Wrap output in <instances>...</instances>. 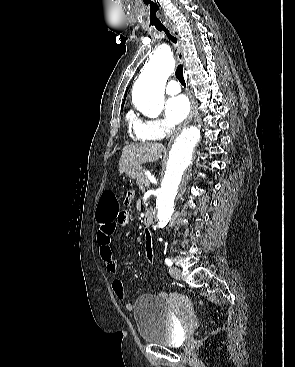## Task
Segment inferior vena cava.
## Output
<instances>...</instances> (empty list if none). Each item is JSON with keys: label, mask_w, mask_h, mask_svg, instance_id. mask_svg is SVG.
<instances>
[{"label": "inferior vena cava", "mask_w": 295, "mask_h": 367, "mask_svg": "<svg viewBox=\"0 0 295 367\" xmlns=\"http://www.w3.org/2000/svg\"><path fill=\"white\" fill-rule=\"evenodd\" d=\"M175 128L174 127H169L168 130H167V137H170L171 134H173Z\"/></svg>", "instance_id": "602c4592"}]
</instances>
